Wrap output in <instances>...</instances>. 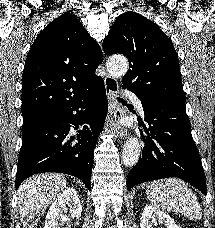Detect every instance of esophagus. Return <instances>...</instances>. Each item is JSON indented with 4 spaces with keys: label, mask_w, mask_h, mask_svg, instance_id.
Wrapping results in <instances>:
<instances>
[{
    "label": "esophagus",
    "mask_w": 215,
    "mask_h": 228,
    "mask_svg": "<svg viewBox=\"0 0 215 228\" xmlns=\"http://www.w3.org/2000/svg\"><path fill=\"white\" fill-rule=\"evenodd\" d=\"M104 85L109 104V118L111 122H115L124 117V108L118 102L119 84L116 78L107 74L104 76ZM116 135L118 137H126L127 129L118 126L116 128Z\"/></svg>",
    "instance_id": "esophagus-1"
}]
</instances>
